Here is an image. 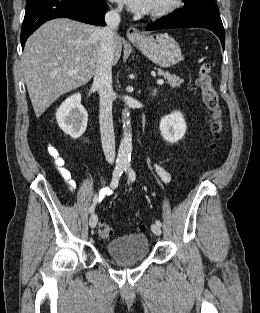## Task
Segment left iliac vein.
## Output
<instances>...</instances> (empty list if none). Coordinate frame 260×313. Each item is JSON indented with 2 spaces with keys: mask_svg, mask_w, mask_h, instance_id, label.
<instances>
[{
  "mask_svg": "<svg viewBox=\"0 0 260 313\" xmlns=\"http://www.w3.org/2000/svg\"><path fill=\"white\" fill-rule=\"evenodd\" d=\"M151 230L152 232L157 235V236H160L161 235V227L157 224H152L151 225Z\"/></svg>",
  "mask_w": 260,
  "mask_h": 313,
  "instance_id": "obj_1",
  "label": "left iliac vein"
}]
</instances>
